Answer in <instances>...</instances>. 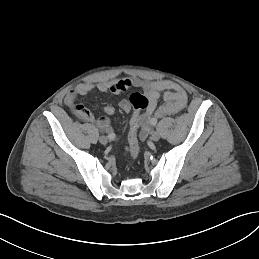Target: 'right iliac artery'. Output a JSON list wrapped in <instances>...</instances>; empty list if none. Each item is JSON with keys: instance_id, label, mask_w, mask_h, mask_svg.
<instances>
[{"instance_id": "1", "label": "right iliac artery", "mask_w": 259, "mask_h": 259, "mask_svg": "<svg viewBox=\"0 0 259 259\" xmlns=\"http://www.w3.org/2000/svg\"><path fill=\"white\" fill-rule=\"evenodd\" d=\"M107 137H108L109 140H114L116 136H115L114 133H110V134H108Z\"/></svg>"}]
</instances>
